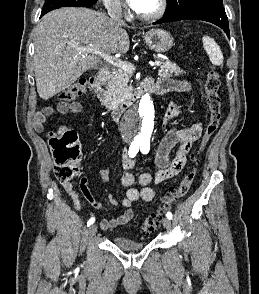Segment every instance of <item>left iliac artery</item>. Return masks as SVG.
<instances>
[{
  "label": "left iliac artery",
  "mask_w": 259,
  "mask_h": 294,
  "mask_svg": "<svg viewBox=\"0 0 259 294\" xmlns=\"http://www.w3.org/2000/svg\"><path fill=\"white\" fill-rule=\"evenodd\" d=\"M140 150L143 154H147L150 150V143H146V142H143L140 144ZM167 218L168 219H172V213L171 212H167L166 214Z\"/></svg>",
  "instance_id": "1"
}]
</instances>
